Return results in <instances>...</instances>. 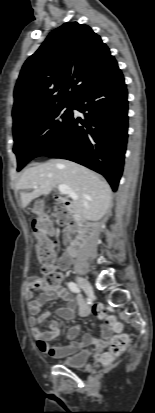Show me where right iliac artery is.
Here are the masks:
<instances>
[{
  "label": "right iliac artery",
  "mask_w": 155,
  "mask_h": 413,
  "mask_svg": "<svg viewBox=\"0 0 155 413\" xmlns=\"http://www.w3.org/2000/svg\"><path fill=\"white\" fill-rule=\"evenodd\" d=\"M68 287L74 293H80L81 292V289L79 288V286L74 282H69Z\"/></svg>",
  "instance_id": "obj_1"
}]
</instances>
